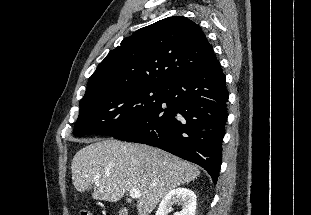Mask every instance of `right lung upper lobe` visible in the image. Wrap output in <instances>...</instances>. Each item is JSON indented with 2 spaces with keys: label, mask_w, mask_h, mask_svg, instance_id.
<instances>
[{
  "label": "right lung upper lobe",
  "mask_w": 311,
  "mask_h": 215,
  "mask_svg": "<svg viewBox=\"0 0 311 215\" xmlns=\"http://www.w3.org/2000/svg\"><path fill=\"white\" fill-rule=\"evenodd\" d=\"M216 60L199 25L183 16L168 17L137 30L109 52L89 78L83 98L131 87L164 86Z\"/></svg>",
  "instance_id": "1"
}]
</instances>
